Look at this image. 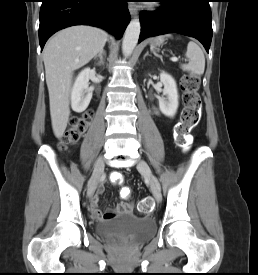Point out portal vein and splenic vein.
Returning <instances> with one entry per match:
<instances>
[{
    "mask_svg": "<svg viewBox=\"0 0 258 275\" xmlns=\"http://www.w3.org/2000/svg\"><path fill=\"white\" fill-rule=\"evenodd\" d=\"M171 60H172V61H178V58L175 57V56H173V57L171 58Z\"/></svg>",
    "mask_w": 258,
    "mask_h": 275,
    "instance_id": "obj_1",
    "label": "portal vein and splenic vein"
}]
</instances>
